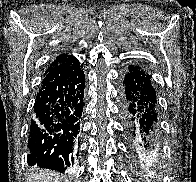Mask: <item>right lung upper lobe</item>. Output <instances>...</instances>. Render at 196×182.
<instances>
[{"label":"right lung upper lobe","instance_id":"right-lung-upper-lobe-1","mask_svg":"<svg viewBox=\"0 0 196 182\" xmlns=\"http://www.w3.org/2000/svg\"><path fill=\"white\" fill-rule=\"evenodd\" d=\"M72 57V55H67V54H62V55H59L56 59H55V61L54 62H52L51 64H50V66L46 69V71H45V73H44V75L45 74H47L48 72H50L52 69H54V68H56L58 65H60V64H62V63H64V62H66L69 58H71Z\"/></svg>","mask_w":196,"mask_h":182}]
</instances>
